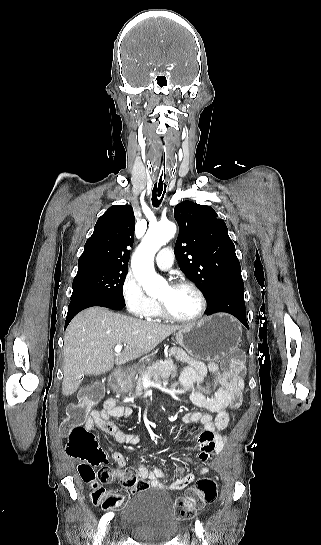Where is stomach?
I'll return each mask as SVG.
<instances>
[{
	"instance_id": "0dacf381",
	"label": "stomach",
	"mask_w": 321,
	"mask_h": 545,
	"mask_svg": "<svg viewBox=\"0 0 321 545\" xmlns=\"http://www.w3.org/2000/svg\"><path fill=\"white\" fill-rule=\"evenodd\" d=\"M176 341L191 357L201 361H215L225 357L241 343L242 327L231 315L217 313L190 323L175 333ZM154 357V355H149Z\"/></svg>"
}]
</instances>
